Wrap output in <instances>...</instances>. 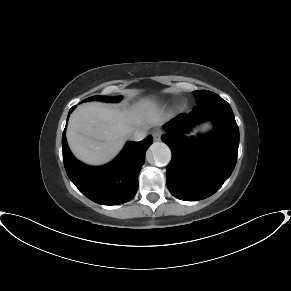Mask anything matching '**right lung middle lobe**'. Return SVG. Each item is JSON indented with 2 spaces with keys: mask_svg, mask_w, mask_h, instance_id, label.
<instances>
[{
  "mask_svg": "<svg viewBox=\"0 0 291 291\" xmlns=\"http://www.w3.org/2000/svg\"><path fill=\"white\" fill-rule=\"evenodd\" d=\"M121 96H92L90 98L85 99L84 101H91V100H100V101H110V102H117L121 100Z\"/></svg>",
  "mask_w": 291,
  "mask_h": 291,
  "instance_id": "1",
  "label": "right lung middle lobe"
}]
</instances>
